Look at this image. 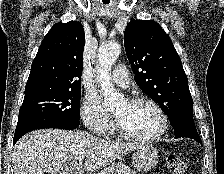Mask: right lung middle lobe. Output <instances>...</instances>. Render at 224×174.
<instances>
[{
    "mask_svg": "<svg viewBox=\"0 0 224 174\" xmlns=\"http://www.w3.org/2000/svg\"><path fill=\"white\" fill-rule=\"evenodd\" d=\"M81 89L45 90L25 94L18 124L26 121L64 124L79 122Z\"/></svg>",
    "mask_w": 224,
    "mask_h": 174,
    "instance_id": "dd1d6c3e",
    "label": "right lung middle lobe"
}]
</instances>
